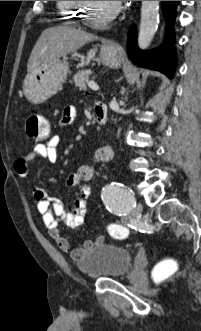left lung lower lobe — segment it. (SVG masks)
Listing matches in <instances>:
<instances>
[{"label":"left lung lower lobe","mask_w":201,"mask_h":331,"mask_svg":"<svg viewBox=\"0 0 201 331\" xmlns=\"http://www.w3.org/2000/svg\"><path fill=\"white\" fill-rule=\"evenodd\" d=\"M179 1H163V12L168 22V42L161 49L152 52L141 51L136 44V31L133 26L129 32L128 52L131 60L139 66L151 68L163 72L172 78L177 64L174 51V35L171 24L176 16V6Z\"/></svg>","instance_id":"1"}]
</instances>
